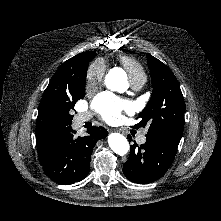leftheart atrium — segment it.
I'll return each mask as SVG.
<instances>
[{"instance_id": "obj_1", "label": "left heart atrium", "mask_w": 221, "mask_h": 221, "mask_svg": "<svg viewBox=\"0 0 221 221\" xmlns=\"http://www.w3.org/2000/svg\"><path fill=\"white\" fill-rule=\"evenodd\" d=\"M92 106L107 122L118 121L122 112L130 109L127 101L108 92L99 94L94 99Z\"/></svg>"}]
</instances>
